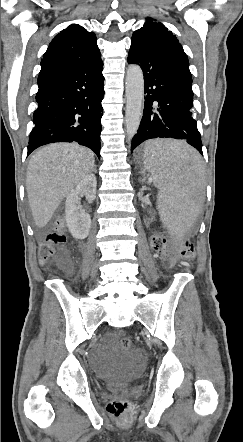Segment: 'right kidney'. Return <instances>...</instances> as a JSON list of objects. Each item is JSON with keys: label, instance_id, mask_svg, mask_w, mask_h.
<instances>
[{"label": "right kidney", "instance_id": "right-kidney-1", "mask_svg": "<svg viewBox=\"0 0 243 442\" xmlns=\"http://www.w3.org/2000/svg\"><path fill=\"white\" fill-rule=\"evenodd\" d=\"M96 185L95 175L89 174L67 195L65 219L67 227L75 239H85L91 228L90 215L77 206L80 201L79 195H84L89 202H92L96 197Z\"/></svg>", "mask_w": 243, "mask_h": 442}]
</instances>
